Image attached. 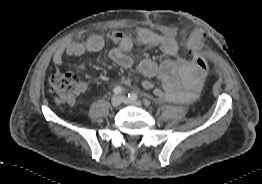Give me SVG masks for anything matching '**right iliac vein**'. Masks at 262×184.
Wrapping results in <instances>:
<instances>
[{"mask_svg": "<svg viewBox=\"0 0 262 184\" xmlns=\"http://www.w3.org/2000/svg\"><path fill=\"white\" fill-rule=\"evenodd\" d=\"M121 97L120 96H118V95H114L112 98H111V105L113 106V107H119L120 106V104H121Z\"/></svg>", "mask_w": 262, "mask_h": 184, "instance_id": "obj_1", "label": "right iliac vein"}]
</instances>
